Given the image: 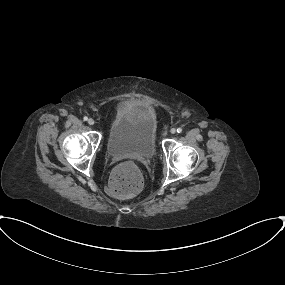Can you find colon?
Here are the masks:
<instances>
[{"instance_id": "colon-1", "label": "colon", "mask_w": 285, "mask_h": 285, "mask_svg": "<svg viewBox=\"0 0 285 285\" xmlns=\"http://www.w3.org/2000/svg\"><path fill=\"white\" fill-rule=\"evenodd\" d=\"M143 188V176L140 169L130 163L118 166L111 173L107 189L118 198H129L137 195Z\"/></svg>"}]
</instances>
